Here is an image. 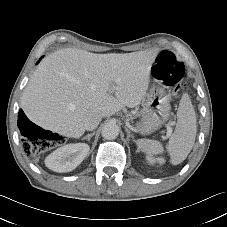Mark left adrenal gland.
<instances>
[{
  "instance_id": "a2214340",
  "label": "left adrenal gland",
  "mask_w": 227,
  "mask_h": 227,
  "mask_svg": "<svg viewBox=\"0 0 227 227\" xmlns=\"http://www.w3.org/2000/svg\"><path fill=\"white\" fill-rule=\"evenodd\" d=\"M126 131H127V133H128V136H127V138H132L133 139V141L134 142H136L135 140H134V136L131 134V132L126 128Z\"/></svg>"
}]
</instances>
